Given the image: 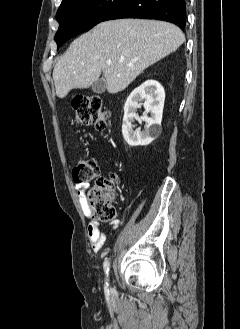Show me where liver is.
<instances>
[{
	"label": "liver",
	"mask_w": 240,
	"mask_h": 329,
	"mask_svg": "<svg viewBox=\"0 0 240 329\" xmlns=\"http://www.w3.org/2000/svg\"><path fill=\"white\" fill-rule=\"evenodd\" d=\"M183 32L163 21L120 19L102 22L75 39L56 63L53 80L59 98L84 89L103 72L111 94L123 91L146 68L175 52ZM107 60L112 64L108 65ZM130 65V66H129Z\"/></svg>",
	"instance_id": "6515ba94"
}]
</instances>
